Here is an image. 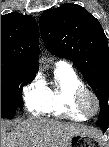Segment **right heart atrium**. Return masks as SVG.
<instances>
[{"mask_svg":"<svg viewBox=\"0 0 109 147\" xmlns=\"http://www.w3.org/2000/svg\"><path fill=\"white\" fill-rule=\"evenodd\" d=\"M24 95L26 102L35 101L41 99L43 96V89L40 83H34L24 89Z\"/></svg>","mask_w":109,"mask_h":147,"instance_id":"1","label":"right heart atrium"}]
</instances>
